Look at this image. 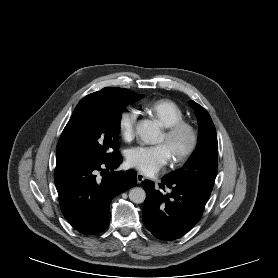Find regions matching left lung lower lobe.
<instances>
[{
    "mask_svg": "<svg viewBox=\"0 0 278 278\" xmlns=\"http://www.w3.org/2000/svg\"><path fill=\"white\" fill-rule=\"evenodd\" d=\"M146 191L143 222L147 230L160 240H174L188 232L201 218L212 189L193 183L177 182L167 176L159 184L144 180ZM169 188L165 193L164 188Z\"/></svg>",
    "mask_w": 278,
    "mask_h": 278,
    "instance_id": "1",
    "label": "left lung lower lobe"
}]
</instances>
